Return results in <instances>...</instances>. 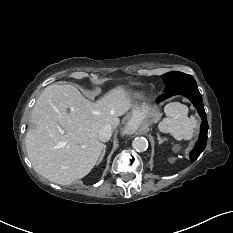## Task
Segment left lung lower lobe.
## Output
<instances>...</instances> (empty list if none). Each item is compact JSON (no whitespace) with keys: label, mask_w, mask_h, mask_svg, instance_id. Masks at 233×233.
Wrapping results in <instances>:
<instances>
[{"label":"left lung lower lobe","mask_w":233,"mask_h":233,"mask_svg":"<svg viewBox=\"0 0 233 233\" xmlns=\"http://www.w3.org/2000/svg\"><path fill=\"white\" fill-rule=\"evenodd\" d=\"M176 94H182L189 98V100L193 103L202 119L198 142L190 153V159L192 162H194L201 154V152L205 149L207 143L208 123L206 119V113L204 110L202 96L198 90L196 83H185L166 91L157 99V102L163 101L164 99H167L172 95Z\"/></svg>","instance_id":"0a47b994"}]
</instances>
